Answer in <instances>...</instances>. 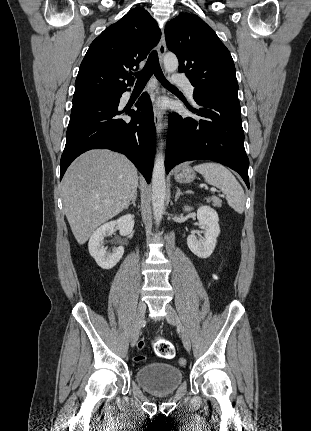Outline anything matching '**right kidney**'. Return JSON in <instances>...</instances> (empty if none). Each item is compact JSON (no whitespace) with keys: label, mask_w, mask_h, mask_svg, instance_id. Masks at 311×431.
Masks as SVG:
<instances>
[{"label":"right kidney","mask_w":311,"mask_h":431,"mask_svg":"<svg viewBox=\"0 0 311 431\" xmlns=\"http://www.w3.org/2000/svg\"><path fill=\"white\" fill-rule=\"evenodd\" d=\"M115 225H118L120 235H129L134 227V217L131 214H126V216H121L119 219H114V221H107L100 225L94 233H92L88 241V249L90 255L94 257L100 267L103 269H111L119 259H121L124 253V247H114L112 253L106 251V247L103 245V239L105 235H111L114 231Z\"/></svg>","instance_id":"ca27d5eb"}]
</instances>
